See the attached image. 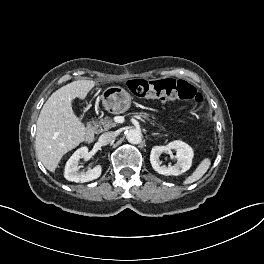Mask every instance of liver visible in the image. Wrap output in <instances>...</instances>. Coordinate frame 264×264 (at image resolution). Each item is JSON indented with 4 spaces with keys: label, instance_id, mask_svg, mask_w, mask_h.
<instances>
[{
    "label": "liver",
    "instance_id": "obj_1",
    "mask_svg": "<svg viewBox=\"0 0 264 264\" xmlns=\"http://www.w3.org/2000/svg\"><path fill=\"white\" fill-rule=\"evenodd\" d=\"M95 86L78 80L56 90L43 105L37 120L35 148L47 170L55 172L61 158L85 138V126L72 109V100L84 99Z\"/></svg>",
    "mask_w": 264,
    "mask_h": 264
}]
</instances>
